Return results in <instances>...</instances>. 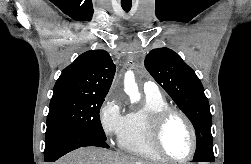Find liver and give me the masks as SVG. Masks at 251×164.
I'll list each match as a JSON object with an SVG mask.
<instances>
[{"mask_svg":"<svg viewBox=\"0 0 251 164\" xmlns=\"http://www.w3.org/2000/svg\"><path fill=\"white\" fill-rule=\"evenodd\" d=\"M55 164H156L142 161L134 156L114 152L98 147H83L77 149Z\"/></svg>","mask_w":251,"mask_h":164,"instance_id":"obj_1","label":"liver"}]
</instances>
